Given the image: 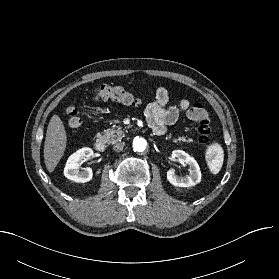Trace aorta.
Wrapping results in <instances>:
<instances>
[{
  "mask_svg": "<svg viewBox=\"0 0 279 279\" xmlns=\"http://www.w3.org/2000/svg\"><path fill=\"white\" fill-rule=\"evenodd\" d=\"M147 142L144 138L136 137L133 140V148L137 152H143L146 149Z\"/></svg>",
  "mask_w": 279,
  "mask_h": 279,
  "instance_id": "762f6f07",
  "label": "aorta"
}]
</instances>
